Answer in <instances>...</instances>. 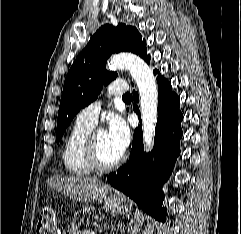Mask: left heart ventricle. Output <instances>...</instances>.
<instances>
[{
	"mask_svg": "<svg viewBox=\"0 0 241 234\" xmlns=\"http://www.w3.org/2000/svg\"><path fill=\"white\" fill-rule=\"evenodd\" d=\"M95 137L98 143L100 157L105 163L114 162L121 156L122 153L112 145L106 131L98 130Z\"/></svg>",
	"mask_w": 241,
	"mask_h": 234,
	"instance_id": "obj_1",
	"label": "left heart ventricle"
}]
</instances>
